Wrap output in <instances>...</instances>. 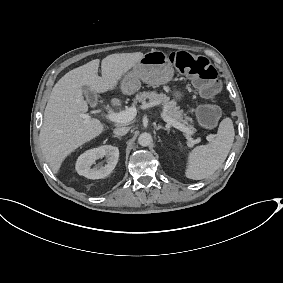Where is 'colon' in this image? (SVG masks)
Listing matches in <instances>:
<instances>
[{
	"label": "colon",
	"mask_w": 283,
	"mask_h": 283,
	"mask_svg": "<svg viewBox=\"0 0 283 283\" xmlns=\"http://www.w3.org/2000/svg\"><path fill=\"white\" fill-rule=\"evenodd\" d=\"M171 62L183 74L193 79L200 93L212 98L220 89L217 71L205 57L185 51H176L170 55ZM220 116L219 108L214 104H203L197 110V118L204 128H212Z\"/></svg>",
	"instance_id": "5ec220e1"
}]
</instances>
